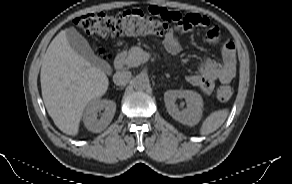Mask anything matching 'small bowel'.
Wrapping results in <instances>:
<instances>
[{"mask_svg":"<svg viewBox=\"0 0 292 184\" xmlns=\"http://www.w3.org/2000/svg\"><path fill=\"white\" fill-rule=\"evenodd\" d=\"M189 25L187 28L199 26L206 29V40L215 44L220 39L219 28L210 22V19L202 14H188ZM186 28V29H187ZM165 49L172 55L182 51L180 39L173 32H169L163 40ZM236 74V50L232 41H227L222 48V61L213 59L203 60L199 65L198 73L188 75L187 82L199 88L204 94H211L217 81L227 84Z\"/></svg>","mask_w":292,"mask_h":184,"instance_id":"1","label":"small bowel"}]
</instances>
